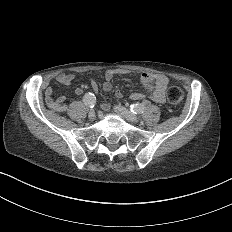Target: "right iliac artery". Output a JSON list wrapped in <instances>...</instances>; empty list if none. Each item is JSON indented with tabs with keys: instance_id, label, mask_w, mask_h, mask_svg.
Masks as SVG:
<instances>
[{
	"instance_id": "obj_1",
	"label": "right iliac artery",
	"mask_w": 232,
	"mask_h": 232,
	"mask_svg": "<svg viewBox=\"0 0 232 232\" xmlns=\"http://www.w3.org/2000/svg\"><path fill=\"white\" fill-rule=\"evenodd\" d=\"M83 102L85 105L93 108L96 105V96L92 92H88L83 96Z\"/></svg>"
}]
</instances>
